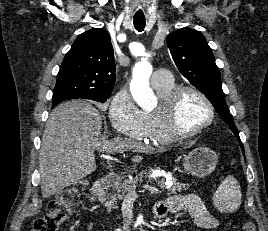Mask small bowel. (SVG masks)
<instances>
[{"label":"small bowel","mask_w":268,"mask_h":231,"mask_svg":"<svg viewBox=\"0 0 268 231\" xmlns=\"http://www.w3.org/2000/svg\"><path fill=\"white\" fill-rule=\"evenodd\" d=\"M189 213L193 222L200 228L211 230L217 226V219L204 201L195 194L172 195L167 200L159 202L154 213L158 218H163L167 214ZM92 223L86 227V231H91Z\"/></svg>","instance_id":"c3829d8e"}]
</instances>
